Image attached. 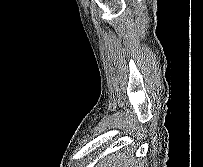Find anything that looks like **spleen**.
Wrapping results in <instances>:
<instances>
[{
  "label": "spleen",
  "instance_id": "1",
  "mask_svg": "<svg viewBox=\"0 0 203 167\" xmlns=\"http://www.w3.org/2000/svg\"><path fill=\"white\" fill-rule=\"evenodd\" d=\"M112 160H115V159L113 158ZM130 164H131V161H129V160L126 161L125 163H122L121 160H117V167H128V166H130ZM101 167H106V165L103 164V165H101Z\"/></svg>",
  "mask_w": 203,
  "mask_h": 167
}]
</instances>
